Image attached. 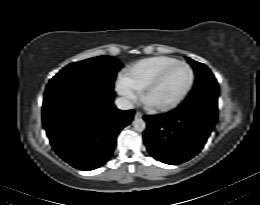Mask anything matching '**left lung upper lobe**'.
<instances>
[{
    "label": "left lung upper lobe",
    "mask_w": 260,
    "mask_h": 205,
    "mask_svg": "<svg viewBox=\"0 0 260 205\" xmlns=\"http://www.w3.org/2000/svg\"><path fill=\"white\" fill-rule=\"evenodd\" d=\"M194 68L196 81L192 92L183 104H204L217 110L218 83L208 67L187 58Z\"/></svg>",
    "instance_id": "5c2ea615"
}]
</instances>
